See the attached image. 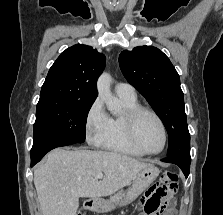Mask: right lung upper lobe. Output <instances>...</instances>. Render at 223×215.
<instances>
[{
    "label": "right lung upper lobe",
    "instance_id": "obj_1",
    "mask_svg": "<svg viewBox=\"0 0 223 215\" xmlns=\"http://www.w3.org/2000/svg\"><path fill=\"white\" fill-rule=\"evenodd\" d=\"M105 62L104 54L90 46L76 44L66 49L50 68L40 98L94 102Z\"/></svg>",
    "mask_w": 223,
    "mask_h": 215
}]
</instances>
